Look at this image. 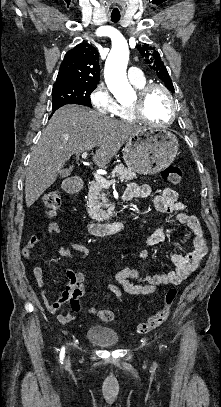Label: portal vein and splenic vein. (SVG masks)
Listing matches in <instances>:
<instances>
[{"label":"portal vein and splenic vein","instance_id":"portal-vein-and-splenic-vein-1","mask_svg":"<svg viewBox=\"0 0 221 407\" xmlns=\"http://www.w3.org/2000/svg\"><path fill=\"white\" fill-rule=\"evenodd\" d=\"M88 156V153L85 151L82 153L81 157L82 159H86ZM95 180L103 187V188H109L111 184L116 182V179L112 180H106L102 175L98 173H93Z\"/></svg>","mask_w":221,"mask_h":407}]
</instances>
